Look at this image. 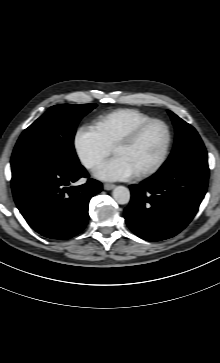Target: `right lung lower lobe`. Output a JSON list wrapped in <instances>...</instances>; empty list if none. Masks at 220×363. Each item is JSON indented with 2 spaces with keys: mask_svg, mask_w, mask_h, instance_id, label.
I'll use <instances>...</instances> for the list:
<instances>
[{
  "mask_svg": "<svg viewBox=\"0 0 220 363\" xmlns=\"http://www.w3.org/2000/svg\"><path fill=\"white\" fill-rule=\"evenodd\" d=\"M85 168H64L47 163L28 165L12 173L16 205L35 231L51 239H69L83 230L88 220V203L102 190L100 182L88 179Z\"/></svg>",
  "mask_w": 220,
  "mask_h": 363,
  "instance_id": "obj_1",
  "label": "right lung lower lobe"
}]
</instances>
